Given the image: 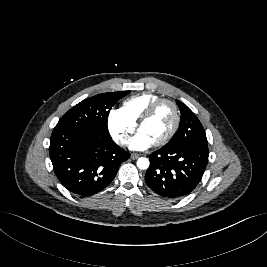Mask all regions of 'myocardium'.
Masks as SVG:
<instances>
[{
    "mask_svg": "<svg viewBox=\"0 0 267 267\" xmlns=\"http://www.w3.org/2000/svg\"><path fill=\"white\" fill-rule=\"evenodd\" d=\"M164 104H168L172 107L174 113V123L169 133L164 138L154 143L155 146H163L167 144L177 133L181 121L180 112L177 104L173 100L161 98L152 103L137 122V130H140L141 126L148 120H150L156 113V111Z\"/></svg>",
    "mask_w": 267,
    "mask_h": 267,
    "instance_id": "f54148a6",
    "label": "myocardium"
}]
</instances>
